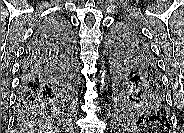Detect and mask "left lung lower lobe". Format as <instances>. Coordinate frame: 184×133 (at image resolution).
Listing matches in <instances>:
<instances>
[{"mask_svg":"<svg viewBox=\"0 0 184 133\" xmlns=\"http://www.w3.org/2000/svg\"><path fill=\"white\" fill-rule=\"evenodd\" d=\"M152 90H153L152 92H147V94L152 97L153 105L155 108L158 109V112L152 114L148 118V122L161 124L162 126L170 128L171 121H170L169 111L167 110V101L165 97L166 94H165L164 86L162 85L161 79H159V82H157V84L152 86ZM143 92L146 93V90L143 89ZM124 117H128V116H124ZM128 119L130 118L128 117ZM126 121H127V118H126Z\"/></svg>","mask_w":184,"mask_h":133,"instance_id":"0a47b994","label":"left lung lower lobe"}]
</instances>
